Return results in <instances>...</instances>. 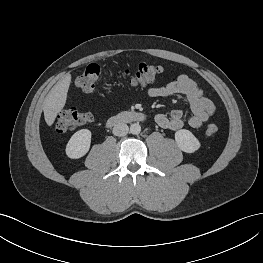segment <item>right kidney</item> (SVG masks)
<instances>
[{"label":"right kidney","mask_w":263,"mask_h":263,"mask_svg":"<svg viewBox=\"0 0 263 263\" xmlns=\"http://www.w3.org/2000/svg\"><path fill=\"white\" fill-rule=\"evenodd\" d=\"M91 132L81 129L74 133L66 145V154L69 158L78 159L84 156L90 148Z\"/></svg>","instance_id":"1"}]
</instances>
